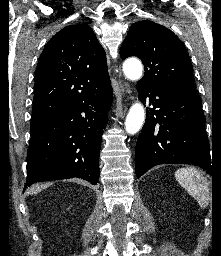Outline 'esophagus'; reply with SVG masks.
<instances>
[{"label": "esophagus", "mask_w": 221, "mask_h": 256, "mask_svg": "<svg viewBox=\"0 0 221 256\" xmlns=\"http://www.w3.org/2000/svg\"><path fill=\"white\" fill-rule=\"evenodd\" d=\"M125 86L122 84V83H120V92L122 93V94H124L125 93Z\"/></svg>", "instance_id": "esophagus-1"}]
</instances>
